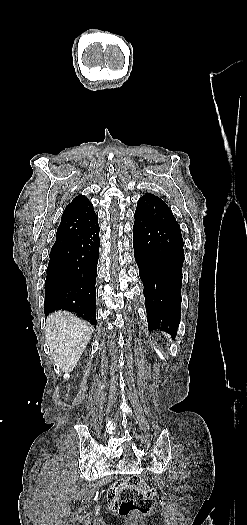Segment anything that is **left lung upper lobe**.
Listing matches in <instances>:
<instances>
[{
	"instance_id": "obj_1",
	"label": "left lung upper lobe",
	"mask_w": 247,
	"mask_h": 525,
	"mask_svg": "<svg viewBox=\"0 0 247 525\" xmlns=\"http://www.w3.org/2000/svg\"><path fill=\"white\" fill-rule=\"evenodd\" d=\"M134 216L153 219L180 231L170 208L162 199L151 193H145L138 200Z\"/></svg>"
}]
</instances>
